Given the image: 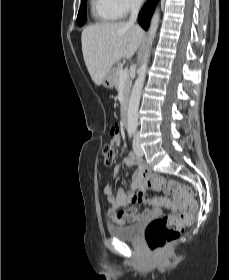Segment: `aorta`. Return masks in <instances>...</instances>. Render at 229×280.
<instances>
[{
  "label": "aorta",
  "instance_id": "aorta-1",
  "mask_svg": "<svg viewBox=\"0 0 229 280\" xmlns=\"http://www.w3.org/2000/svg\"><path fill=\"white\" fill-rule=\"evenodd\" d=\"M160 15L158 11L155 12L153 18L151 20V25L149 29V39H148V46H152L153 40L156 36V32L158 29ZM150 49L145 52L143 61L141 66L138 69V77L134 83L132 88L129 107H128V120H127V128L128 130L135 131L138 126V108L140 103L141 92L143 89L146 71H147V64L149 61Z\"/></svg>",
  "mask_w": 229,
  "mask_h": 280
}]
</instances>
